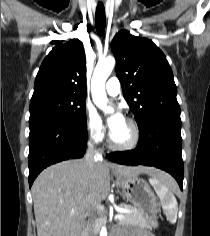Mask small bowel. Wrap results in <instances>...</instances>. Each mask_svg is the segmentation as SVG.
I'll use <instances>...</instances> for the list:
<instances>
[{
  "label": "small bowel",
  "mask_w": 210,
  "mask_h": 236,
  "mask_svg": "<svg viewBox=\"0 0 210 236\" xmlns=\"http://www.w3.org/2000/svg\"><path fill=\"white\" fill-rule=\"evenodd\" d=\"M115 236H153L148 232H128L121 229L115 230Z\"/></svg>",
  "instance_id": "1"
}]
</instances>
